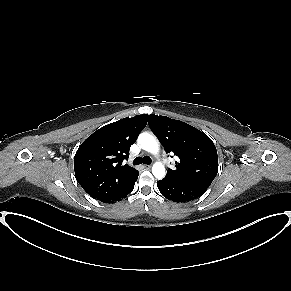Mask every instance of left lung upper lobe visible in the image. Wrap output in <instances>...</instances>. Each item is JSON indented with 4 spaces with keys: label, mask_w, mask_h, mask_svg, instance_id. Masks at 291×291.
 <instances>
[{
    "label": "left lung upper lobe",
    "mask_w": 291,
    "mask_h": 291,
    "mask_svg": "<svg viewBox=\"0 0 291 291\" xmlns=\"http://www.w3.org/2000/svg\"><path fill=\"white\" fill-rule=\"evenodd\" d=\"M148 124L163 144L166 153L179 160L166 176L183 183L208 188L218 172V156L214 143L203 132L166 116H148Z\"/></svg>",
    "instance_id": "left-lung-upper-lobe-1"
}]
</instances>
